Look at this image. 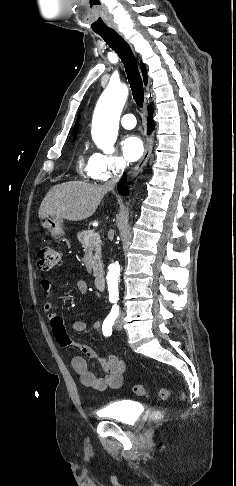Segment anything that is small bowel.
Segmentation results:
<instances>
[{
	"mask_svg": "<svg viewBox=\"0 0 236 486\" xmlns=\"http://www.w3.org/2000/svg\"><path fill=\"white\" fill-rule=\"evenodd\" d=\"M41 290L45 296V303L43 309L47 314L48 320L54 332V335L61 346L74 345L78 347L87 357L95 359L99 362L100 366L104 370L105 374L101 377L95 375L89 370L86 359L82 356H75L71 360L73 370L79 375L81 383L96 391H104L106 389H119L124 380V373L126 370L125 362L115 356H109L108 358H99L94 351L88 345L74 342L66 332L63 319L52 312V303L50 301L53 293V286L49 279L42 278L40 281ZM64 285L61 284L59 288ZM76 286L82 293L88 292V285L83 280H77ZM102 321L96 319L88 326L83 321H76L72 324V331L74 333L84 332L87 328L91 330H99L102 327Z\"/></svg>",
	"mask_w": 236,
	"mask_h": 486,
	"instance_id": "1",
	"label": "small bowel"
}]
</instances>
